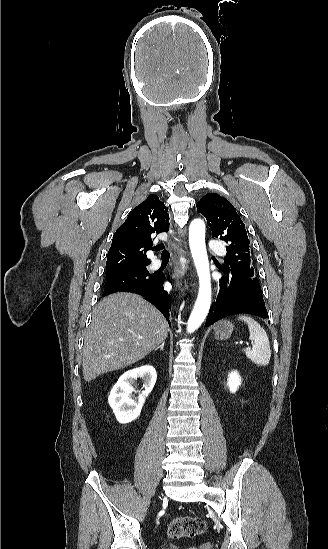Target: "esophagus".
<instances>
[{
	"mask_svg": "<svg viewBox=\"0 0 328 549\" xmlns=\"http://www.w3.org/2000/svg\"><path fill=\"white\" fill-rule=\"evenodd\" d=\"M177 285H178V287H180V286H181V284H180L179 282L177 283Z\"/></svg>",
	"mask_w": 328,
	"mask_h": 549,
	"instance_id": "obj_1",
	"label": "esophagus"
}]
</instances>
